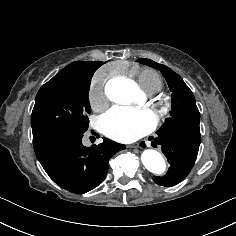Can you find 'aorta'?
Wrapping results in <instances>:
<instances>
[{
	"mask_svg": "<svg viewBox=\"0 0 236 236\" xmlns=\"http://www.w3.org/2000/svg\"><path fill=\"white\" fill-rule=\"evenodd\" d=\"M106 93L114 102L129 103L135 98L137 87L132 81L122 78L108 83ZM141 161L147 170L156 175H162L166 170L163 156L154 149H145Z\"/></svg>",
	"mask_w": 236,
	"mask_h": 236,
	"instance_id": "762f6f07",
	"label": "aorta"
}]
</instances>
